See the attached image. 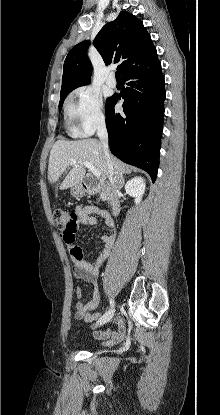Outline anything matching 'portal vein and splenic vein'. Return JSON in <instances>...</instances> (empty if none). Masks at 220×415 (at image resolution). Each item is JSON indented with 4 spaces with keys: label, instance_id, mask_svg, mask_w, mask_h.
<instances>
[{
    "label": "portal vein and splenic vein",
    "instance_id": "1",
    "mask_svg": "<svg viewBox=\"0 0 220 415\" xmlns=\"http://www.w3.org/2000/svg\"><path fill=\"white\" fill-rule=\"evenodd\" d=\"M77 161L75 159H71V164H76ZM83 164L85 165V167H87L89 169V171H91L93 173V175L95 177H100V172L89 162L84 161Z\"/></svg>",
    "mask_w": 220,
    "mask_h": 415
}]
</instances>
